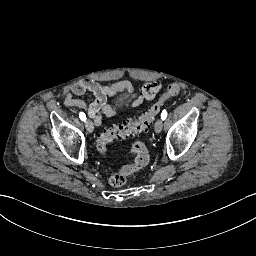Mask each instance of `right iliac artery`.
I'll list each match as a JSON object with an SVG mask.
<instances>
[{
  "label": "right iliac artery",
  "instance_id": "obj_1",
  "mask_svg": "<svg viewBox=\"0 0 256 256\" xmlns=\"http://www.w3.org/2000/svg\"><path fill=\"white\" fill-rule=\"evenodd\" d=\"M79 118L82 120V121H85L86 120V115L84 112H80L79 113Z\"/></svg>",
  "mask_w": 256,
  "mask_h": 256
}]
</instances>
